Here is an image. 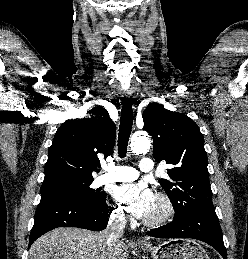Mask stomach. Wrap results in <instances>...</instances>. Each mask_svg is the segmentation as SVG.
<instances>
[{"instance_id": "stomach-1", "label": "stomach", "mask_w": 248, "mask_h": 259, "mask_svg": "<svg viewBox=\"0 0 248 259\" xmlns=\"http://www.w3.org/2000/svg\"><path fill=\"white\" fill-rule=\"evenodd\" d=\"M142 248L151 253L153 259H209L204 248L193 240L174 239Z\"/></svg>"}]
</instances>
